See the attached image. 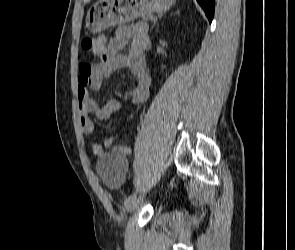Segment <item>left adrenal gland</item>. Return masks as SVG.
<instances>
[{
  "mask_svg": "<svg viewBox=\"0 0 295 250\" xmlns=\"http://www.w3.org/2000/svg\"><path fill=\"white\" fill-rule=\"evenodd\" d=\"M176 14H180L179 10L176 11Z\"/></svg>",
  "mask_w": 295,
  "mask_h": 250,
  "instance_id": "left-adrenal-gland-1",
  "label": "left adrenal gland"
}]
</instances>
